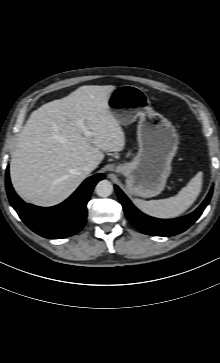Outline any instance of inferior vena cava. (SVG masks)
Segmentation results:
<instances>
[{
  "label": "inferior vena cava",
  "instance_id": "1",
  "mask_svg": "<svg viewBox=\"0 0 220 363\" xmlns=\"http://www.w3.org/2000/svg\"><path fill=\"white\" fill-rule=\"evenodd\" d=\"M96 168V165L93 162H86L83 167L82 170L85 174H89L90 172H92L94 169Z\"/></svg>",
  "mask_w": 220,
  "mask_h": 363
}]
</instances>
